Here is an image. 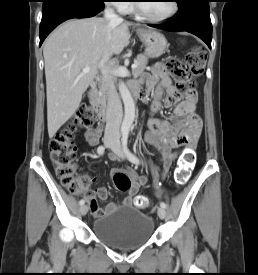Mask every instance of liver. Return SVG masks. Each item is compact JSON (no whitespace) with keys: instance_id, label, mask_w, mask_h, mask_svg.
Instances as JSON below:
<instances>
[{"instance_id":"6515ba94","label":"liver","mask_w":258,"mask_h":275,"mask_svg":"<svg viewBox=\"0 0 258 275\" xmlns=\"http://www.w3.org/2000/svg\"><path fill=\"white\" fill-rule=\"evenodd\" d=\"M128 22L72 19L54 30L43 47L47 126L52 138L78 109L82 95L106 55H119L129 42ZM88 66L90 71L83 72Z\"/></svg>"}]
</instances>
